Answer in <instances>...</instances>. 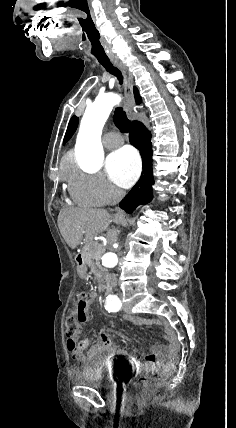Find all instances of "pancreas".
I'll use <instances>...</instances> for the list:
<instances>
[{
	"mask_svg": "<svg viewBox=\"0 0 236 428\" xmlns=\"http://www.w3.org/2000/svg\"><path fill=\"white\" fill-rule=\"evenodd\" d=\"M82 254L88 266H92V264H95V266H98L100 262V258L102 256V252H98L94 244H86V246H84L83 248Z\"/></svg>",
	"mask_w": 236,
	"mask_h": 428,
	"instance_id": "cf45deb5",
	"label": "pancreas"
}]
</instances>
